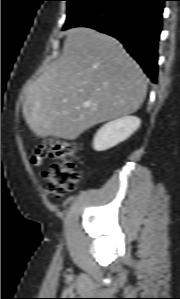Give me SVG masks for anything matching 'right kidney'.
Wrapping results in <instances>:
<instances>
[{
	"label": "right kidney",
	"mask_w": 180,
	"mask_h": 299,
	"mask_svg": "<svg viewBox=\"0 0 180 299\" xmlns=\"http://www.w3.org/2000/svg\"><path fill=\"white\" fill-rule=\"evenodd\" d=\"M141 121L135 116H125L103 125L96 133L93 148L105 151L129 138L139 127Z\"/></svg>",
	"instance_id": "1"
}]
</instances>
